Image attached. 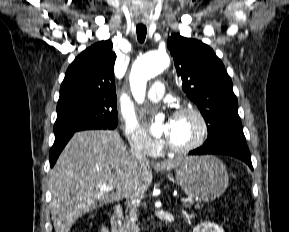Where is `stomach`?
Returning a JSON list of instances; mask_svg holds the SVG:
<instances>
[{"label":"stomach","instance_id":"1","mask_svg":"<svg viewBox=\"0 0 289 232\" xmlns=\"http://www.w3.org/2000/svg\"><path fill=\"white\" fill-rule=\"evenodd\" d=\"M175 172L185 194L205 202L218 198L229 182L225 165L214 156L183 158Z\"/></svg>","mask_w":289,"mask_h":232}]
</instances>
